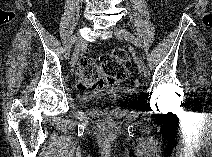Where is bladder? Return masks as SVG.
Segmentation results:
<instances>
[{
	"mask_svg": "<svg viewBox=\"0 0 212 157\" xmlns=\"http://www.w3.org/2000/svg\"><path fill=\"white\" fill-rule=\"evenodd\" d=\"M136 96L137 91L134 88L121 86L82 91L77 94L76 101L83 109L100 118L116 120L125 114V107Z\"/></svg>",
	"mask_w": 212,
	"mask_h": 157,
	"instance_id": "obj_1",
	"label": "bladder"
}]
</instances>
